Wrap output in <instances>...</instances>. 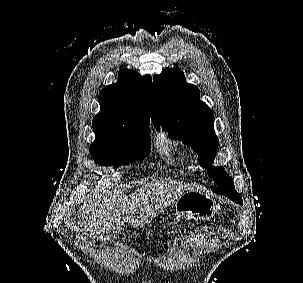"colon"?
Masks as SVG:
<instances>
[{
    "instance_id": "obj_1",
    "label": "colon",
    "mask_w": 303,
    "mask_h": 283,
    "mask_svg": "<svg viewBox=\"0 0 303 283\" xmlns=\"http://www.w3.org/2000/svg\"><path fill=\"white\" fill-rule=\"evenodd\" d=\"M173 242V241H172ZM169 244H166L165 247H168Z\"/></svg>"
}]
</instances>
